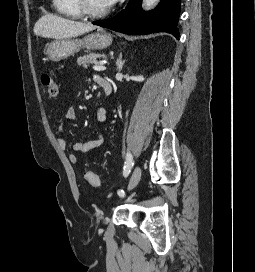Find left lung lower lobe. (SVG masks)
I'll return each mask as SVG.
<instances>
[{"mask_svg": "<svg viewBox=\"0 0 255 272\" xmlns=\"http://www.w3.org/2000/svg\"><path fill=\"white\" fill-rule=\"evenodd\" d=\"M142 0H130L124 10L106 21L93 22L95 25L109 28L125 34H149L167 32L179 38L177 26L181 0H161L155 10L143 12Z\"/></svg>", "mask_w": 255, "mask_h": 272, "instance_id": "obj_1", "label": "left lung lower lobe"}]
</instances>
